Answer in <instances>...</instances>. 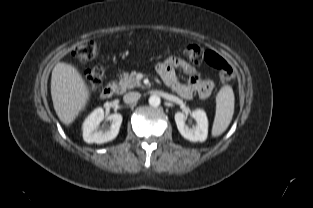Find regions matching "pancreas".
<instances>
[{
	"label": "pancreas",
	"instance_id": "pancreas-1",
	"mask_svg": "<svg viewBox=\"0 0 313 208\" xmlns=\"http://www.w3.org/2000/svg\"><path fill=\"white\" fill-rule=\"evenodd\" d=\"M135 73H125L123 77L120 79L118 84L117 93L122 94L126 92L127 89H132L134 87H140L141 83L136 79Z\"/></svg>",
	"mask_w": 313,
	"mask_h": 208
}]
</instances>
